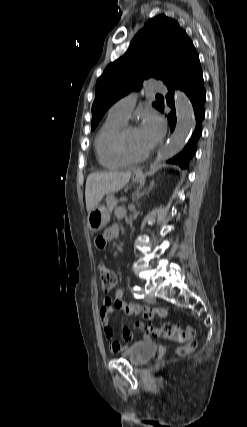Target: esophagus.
I'll return each mask as SVG.
<instances>
[{"mask_svg": "<svg viewBox=\"0 0 247 427\" xmlns=\"http://www.w3.org/2000/svg\"><path fill=\"white\" fill-rule=\"evenodd\" d=\"M134 173H135V174H142V170L138 168V169H136V170L134 171Z\"/></svg>", "mask_w": 247, "mask_h": 427, "instance_id": "esophagus-1", "label": "esophagus"}]
</instances>
